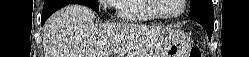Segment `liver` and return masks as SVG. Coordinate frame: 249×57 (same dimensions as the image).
<instances>
[{
	"label": "liver",
	"instance_id": "obj_1",
	"mask_svg": "<svg viewBox=\"0 0 249 57\" xmlns=\"http://www.w3.org/2000/svg\"><path fill=\"white\" fill-rule=\"evenodd\" d=\"M95 18L93 10L80 4L53 14L43 30L45 57H152L158 38L167 31L132 23L98 25Z\"/></svg>",
	"mask_w": 249,
	"mask_h": 57
}]
</instances>
